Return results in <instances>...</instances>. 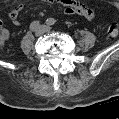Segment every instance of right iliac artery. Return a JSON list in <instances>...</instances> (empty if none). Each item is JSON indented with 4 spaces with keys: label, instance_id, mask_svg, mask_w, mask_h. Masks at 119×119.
Instances as JSON below:
<instances>
[{
    "label": "right iliac artery",
    "instance_id": "obj_1",
    "mask_svg": "<svg viewBox=\"0 0 119 119\" xmlns=\"http://www.w3.org/2000/svg\"><path fill=\"white\" fill-rule=\"evenodd\" d=\"M40 25V22L39 21H33L31 24H30V30L32 31H35Z\"/></svg>",
    "mask_w": 119,
    "mask_h": 119
}]
</instances>
